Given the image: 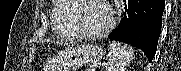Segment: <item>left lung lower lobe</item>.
<instances>
[{
  "mask_svg": "<svg viewBox=\"0 0 181 71\" xmlns=\"http://www.w3.org/2000/svg\"><path fill=\"white\" fill-rule=\"evenodd\" d=\"M125 12L110 39L141 49L149 61L154 58L161 32L165 0H124Z\"/></svg>",
  "mask_w": 181,
  "mask_h": 71,
  "instance_id": "0a47b994",
  "label": "left lung lower lobe"
}]
</instances>
